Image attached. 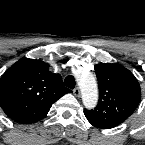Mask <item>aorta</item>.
Segmentation results:
<instances>
[{
    "label": "aorta",
    "mask_w": 145,
    "mask_h": 145,
    "mask_svg": "<svg viewBox=\"0 0 145 145\" xmlns=\"http://www.w3.org/2000/svg\"><path fill=\"white\" fill-rule=\"evenodd\" d=\"M76 80L82 94V101L86 108H94L98 101V87L92 73L83 70L76 74Z\"/></svg>",
    "instance_id": "762f6f07"
}]
</instances>
